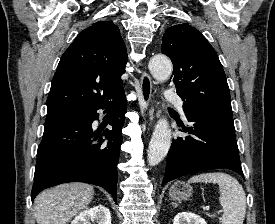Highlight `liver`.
Here are the masks:
<instances>
[{
  "instance_id": "obj_1",
  "label": "liver",
  "mask_w": 275,
  "mask_h": 224,
  "mask_svg": "<svg viewBox=\"0 0 275 224\" xmlns=\"http://www.w3.org/2000/svg\"><path fill=\"white\" fill-rule=\"evenodd\" d=\"M94 188L85 183H67L41 192L35 199L37 224H67L86 209Z\"/></svg>"
}]
</instances>
